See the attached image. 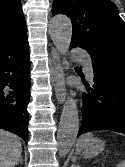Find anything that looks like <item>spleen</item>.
Segmentation results:
<instances>
[{"instance_id":"3e777b00","label":"spleen","mask_w":125,"mask_h":167,"mask_svg":"<svg viewBox=\"0 0 125 167\" xmlns=\"http://www.w3.org/2000/svg\"><path fill=\"white\" fill-rule=\"evenodd\" d=\"M92 136H93V135L90 134V133L81 136V137L79 138V140L77 141V144H76L77 149L79 150V149L83 148V147H84V144H85L88 140H90V139L92 138ZM117 167H125V161H123V162H121L120 164H118Z\"/></svg>"}]
</instances>
